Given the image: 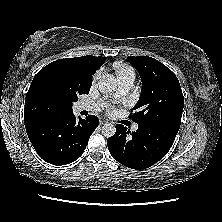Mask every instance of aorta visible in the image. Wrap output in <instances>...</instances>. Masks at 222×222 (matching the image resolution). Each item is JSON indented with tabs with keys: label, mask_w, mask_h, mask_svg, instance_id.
Wrapping results in <instances>:
<instances>
[{
	"label": "aorta",
	"mask_w": 222,
	"mask_h": 222,
	"mask_svg": "<svg viewBox=\"0 0 222 222\" xmlns=\"http://www.w3.org/2000/svg\"><path fill=\"white\" fill-rule=\"evenodd\" d=\"M98 90L102 93H111L116 89L115 79L112 75L105 76L100 82H98ZM116 132V128L112 123H106L102 127V134L109 138Z\"/></svg>",
	"instance_id": "obj_1"
}]
</instances>
